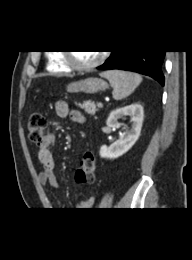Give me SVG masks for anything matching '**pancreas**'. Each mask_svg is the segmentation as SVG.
I'll use <instances>...</instances> for the list:
<instances>
[{"label": "pancreas", "instance_id": "pancreas-1", "mask_svg": "<svg viewBox=\"0 0 192 260\" xmlns=\"http://www.w3.org/2000/svg\"><path fill=\"white\" fill-rule=\"evenodd\" d=\"M79 108L83 109L87 114L95 115V113L101 108L96 106L92 101H84L83 103H75Z\"/></svg>", "mask_w": 192, "mask_h": 260}]
</instances>
